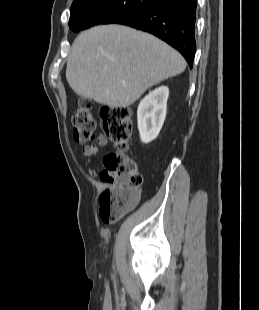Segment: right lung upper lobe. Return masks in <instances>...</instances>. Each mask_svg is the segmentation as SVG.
I'll use <instances>...</instances> for the list:
<instances>
[{"instance_id": "cb5924a9", "label": "right lung upper lobe", "mask_w": 259, "mask_h": 310, "mask_svg": "<svg viewBox=\"0 0 259 310\" xmlns=\"http://www.w3.org/2000/svg\"><path fill=\"white\" fill-rule=\"evenodd\" d=\"M99 1L101 0H74L71 6V10L79 8V7L91 5Z\"/></svg>"}]
</instances>
